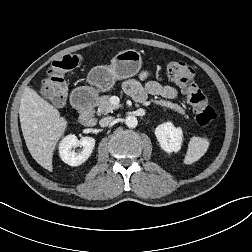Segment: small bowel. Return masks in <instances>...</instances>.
<instances>
[{
  "instance_id": "c3829d8e",
  "label": "small bowel",
  "mask_w": 252,
  "mask_h": 252,
  "mask_svg": "<svg viewBox=\"0 0 252 252\" xmlns=\"http://www.w3.org/2000/svg\"><path fill=\"white\" fill-rule=\"evenodd\" d=\"M150 77L151 73L149 71L141 72L138 79H130L125 82V91L138 101H143L147 94L159 95L165 98H175L177 96V90L174 87L162 85L151 80Z\"/></svg>"
}]
</instances>
